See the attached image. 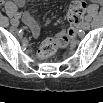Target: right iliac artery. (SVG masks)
Returning a JSON list of instances; mask_svg holds the SVG:
<instances>
[{
  "label": "right iliac artery",
  "instance_id": "1",
  "mask_svg": "<svg viewBox=\"0 0 103 103\" xmlns=\"http://www.w3.org/2000/svg\"><path fill=\"white\" fill-rule=\"evenodd\" d=\"M14 17H15V18H20V13H19V12H15V13H14Z\"/></svg>",
  "mask_w": 103,
  "mask_h": 103
}]
</instances>
